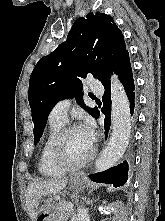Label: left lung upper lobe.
I'll return each instance as SVG.
<instances>
[{
	"instance_id": "1",
	"label": "left lung upper lobe",
	"mask_w": 165,
	"mask_h": 221,
	"mask_svg": "<svg viewBox=\"0 0 165 221\" xmlns=\"http://www.w3.org/2000/svg\"><path fill=\"white\" fill-rule=\"evenodd\" d=\"M128 54L123 34L110 15L89 13L77 19L66 41L41 58L30 76L34 143L42 136L50 111L64 98L75 97L95 117L97 109L84 105L80 78L90 73L104 83Z\"/></svg>"
}]
</instances>
